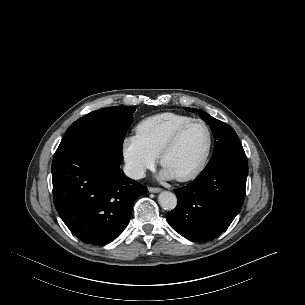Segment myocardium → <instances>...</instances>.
I'll use <instances>...</instances> for the list:
<instances>
[{
    "label": "myocardium",
    "instance_id": "f54148a6",
    "mask_svg": "<svg viewBox=\"0 0 305 305\" xmlns=\"http://www.w3.org/2000/svg\"><path fill=\"white\" fill-rule=\"evenodd\" d=\"M196 123L202 124L207 131V135H208L207 146H206L205 152H204L200 162L193 170H191L190 172H188L186 174L180 175V176H174L175 179L180 182H186V181L196 178L206 167L210 154H211L212 146H213V133H212L210 126L202 119H191L190 121L186 122L185 124L180 126L175 131L173 136L164 145V147L162 148V150L159 154L160 164L164 167V163H165V159H166L167 155L170 152H172L176 148V146L179 144L180 139H181L182 135L184 134V132L186 131V129Z\"/></svg>",
    "mask_w": 305,
    "mask_h": 305
}]
</instances>
